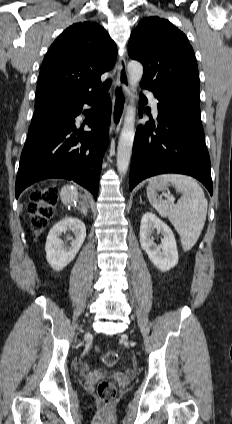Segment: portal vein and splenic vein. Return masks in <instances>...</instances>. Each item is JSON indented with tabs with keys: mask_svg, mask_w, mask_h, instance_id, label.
<instances>
[{
	"mask_svg": "<svg viewBox=\"0 0 232 424\" xmlns=\"http://www.w3.org/2000/svg\"><path fill=\"white\" fill-rule=\"evenodd\" d=\"M169 200L173 204L175 199L174 198H170Z\"/></svg>",
	"mask_w": 232,
	"mask_h": 424,
	"instance_id": "1",
	"label": "portal vein and splenic vein"
}]
</instances>
